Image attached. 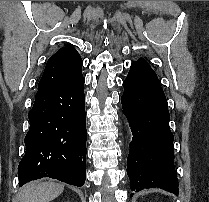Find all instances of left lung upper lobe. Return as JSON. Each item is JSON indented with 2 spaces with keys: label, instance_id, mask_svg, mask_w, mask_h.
I'll return each mask as SVG.
<instances>
[{
  "label": "left lung upper lobe",
  "instance_id": "1",
  "mask_svg": "<svg viewBox=\"0 0 209 202\" xmlns=\"http://www.w3.org/2000/svg\"><path fill=\"white\" fill-rule=\"evenodd\" d=\"M136 63H140V64H143V65H145V66H148V67H149L148 63L144 60V58H140V59H138V60L136 61Z\"/></svg>",
  "mask_w": 209,
  "mask_h": 202
}]
</instances>
